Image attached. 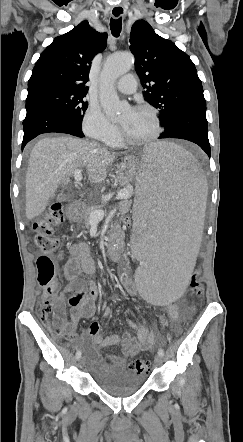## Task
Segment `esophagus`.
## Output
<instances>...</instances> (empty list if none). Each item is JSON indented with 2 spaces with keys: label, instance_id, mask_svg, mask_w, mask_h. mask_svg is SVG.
Listing matches in <instances>:
<instances>
[{
  "label": "esophagus",
  "instance_id": "obj_1",
  "mask_svg": "<svg viewBox=\"0 0 243 442\" xmlns=\"http://www.w3.org/2000/svg\"><path fill=\"white\" fill-rule=\"evenodd\" d=\"M125 14V10L122 6H113L111 9V15L114 19H118L120 17H123Z\"/></svg>",
  "mask_w": 243,
  "mask_h": 442
}]
</instances>
